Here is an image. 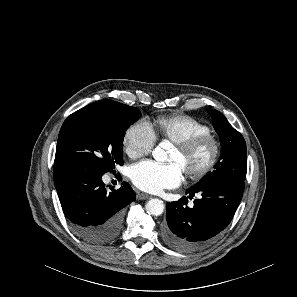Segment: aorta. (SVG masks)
<instances>
[{
	"label": "aorta",
	"instance_id": "762f6f07",
	"mask_svg": "<svg viewBox=\"0 0 297 297\" xmlns=\"http://www.w3.org/2000/svg\"><path fill=\"white\" fill-rule=\"evenodd\" d=\"M153 157L155 160L163 162L167 158L166 147L164 144H159L153 150ZM164 203L162 200L154 198L147 202L146 204V211L149 215L159 216L164 211Z\"/></svg>",
	"mask_w": 297,
	"mask_h": 297
}]
</instances>
